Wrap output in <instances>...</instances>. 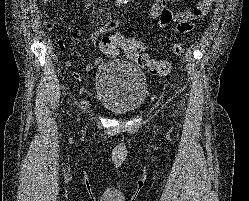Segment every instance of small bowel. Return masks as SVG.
Segmentation results:
<instances>
[{
  "label": "small bowel",
  "mask_w": 249,
  "mask_h": 201,
  "mask_svg": "<svg viewBox=\"0 0 249 201\" xmlns=\"http://www.w3.org/2000/svg\"><path fill=\"white\" fill-rule=\"evenodd\" d=\"M45 1L48 2L49 0ZM169 1L170 0H154L150 8V18L156 21L160 27L169 28L171 31L178 34H184L191 31L195 21L205 16L210 10L212 4L215 2V0H199L194 8L187 9L179 13H173L168 8ZM121 25L122 23L118 20H108L92 33L90 37L92 44L97 45L104 34L113 31ZM44 27L48 31H53L55 29L54 23L50 21L44 22ZM69 31L73 40L77 43L81 36L80 30L75 26H71L69 27ZM58 46L60 49H64V45L60 40L58 41ZM102 61V57L96 58L94 63H88L85 66V70L87 72L93 71L95 66L99 65ZM64 64L68 68L73 65L71 60H66ZM72 74L75 78H80L81 76L78 71H73Z\"/></svg>",
  "instance_id": "c3829d8e"
}]
</instances>
